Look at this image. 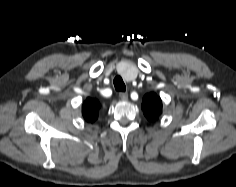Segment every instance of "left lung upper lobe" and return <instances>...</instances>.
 <instances>
[{
  "label": "left lung upper lobe",
  "instance_id": "5c2ea615",
  "mask_svg": "<svg viewBox=\"0 0 236 187\" xmlns=\"http://www.w3.org/2000/svg\"><path fill=\"white\" fill-rule=\"evenodd\" d=\"M142 109L146 118L153 122L162 112V101L155 93L146 94L143 98Z\"/></svg>",
  "mask_w": 236,
  "mask_h": 187
}]
</instances>
